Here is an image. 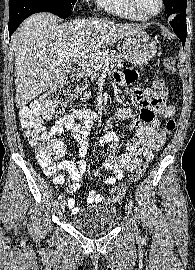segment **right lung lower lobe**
I'll use <instances>...</instances> for the list:
<instances>
[{"instance_id":"1","label":"right lung lower lobe","mask_w":195,"mask_h":270,"mask_svg":"<svg viewBox=\"0 0 195 270\" xmlns=\"http://www.w3.org/2000/svg\"><path fill=\"white\" fill-rule=\"evenodd\" d=\"M39 12L52 13L51 6L39 0H10L8 25L10 37L25 18Z\"/></svg>"}]
</instances>
